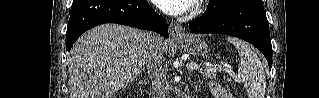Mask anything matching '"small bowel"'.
Instances as JSON below:
<instances>
[{
	"label": "small bowel",
	"mask_w": 319,
	"mask_h": 98,
	"mask_svg": "<svg viewBox=\"0 0 319 98\" xmlns=\"http://www.w3.org/2000/svg\"><path fill=\"white\" fill-rule=\"evenodd\" d=\"M212 89L217 93L218 98H231L230 95H228L222 88H220L218 85L213 84Z\"/></svg>",
	"instance_id": "c3829d8e"
}]
</instances>
